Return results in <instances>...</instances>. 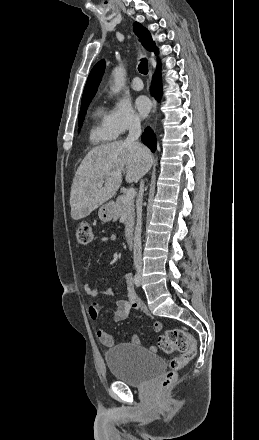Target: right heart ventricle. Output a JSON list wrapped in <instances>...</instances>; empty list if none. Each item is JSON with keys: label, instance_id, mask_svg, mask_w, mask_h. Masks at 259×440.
<instances>
[{"label": "right heart ventricle", "instance_id": "e07e8e85", "mask_svg": "<svg viewBox=\"0 0 259 440\" xmlns=\"http://www.w3.org/2000/svg\"><path fill=\"white\" fill-rule=\"evenodd\" d=\"M115 138L108 123V113L102 107H97L92 114V124L89 139L94 144L106 143Z\"/></svg>", "mask_w": 259, "mask_h": 440}]
</instances>
